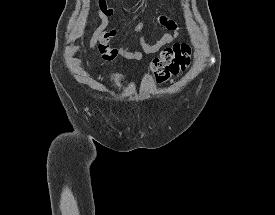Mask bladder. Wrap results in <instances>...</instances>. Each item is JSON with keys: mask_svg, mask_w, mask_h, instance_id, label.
<instances>
[{"mask_svg": "<svg viewBox=\"0 0 275 215\" xmlns=\"http://www.w3.org/2000/svg\"><path fill=\"white\" fill-rule=\"evenodd\" d=\"M107 77L108 81L115 86H121L127 80L125 76L116 72L109 73Z\"/></svg>", "mask_w": 275, "mask_h": 215, "instance_id": "obj_1", "label": "bladder"}]
</instances>
